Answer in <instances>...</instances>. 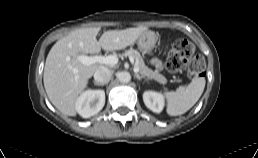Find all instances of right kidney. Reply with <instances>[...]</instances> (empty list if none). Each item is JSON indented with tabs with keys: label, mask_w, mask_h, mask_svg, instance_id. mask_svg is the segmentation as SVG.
Returning a JSON list of instances; mask_svg holds the SVG:
<instances>
[{
	"label": "right kidney",
	"mask_w": 258,
	"mask_h": 158,
	"mask_svg": "<svg viewBox=\"0 0 258 158\" xmlns=\"http://www.w3.org/2000/svg\"><path fill=\"white\" fill-rule=\"evenodd\" d=\"M104 104V90H86L76 99L75 109L81 117L89 118L100 112Z\"/></svg>",
	"instance_id": "ca27d5eb"
}]
</instances>
